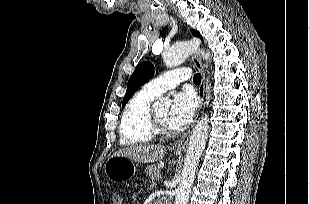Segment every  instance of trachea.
I'll use <instances>...</instances> for the list:
<instances>
[{
  "mask_svg": "<svg viewBox=\"0 0 309 204\" xmlns=\"http://www.w3.org/2000/svg\"><path fill=\"white\" fill-rule=\"evenodd\" d=\"M193 81L195 84H200L201 83V74L197 73L194 75Z\"/></svg>",
  "mask_w": 309,
  "mask_h": 204,
  "instance_id": "trachea-1",
  "label": "trachea"
}]
</instances>
